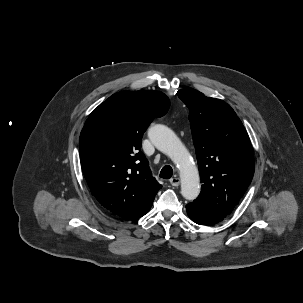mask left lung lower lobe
<instances>
[{
  "label": "left lung lower lobe",
  "mask_w": 303,
  "mask_h": 303,
  "mask_svg": "<svg viewBox=\"0 0 303 303\" xmlns=\"http://www.w3.org/2000/svg\"><path fill=\"white\" fill-rule=\"evenodd\" d=\"M186 210L189 218L199 225H213L225 218L220 213L194 202L187 204Z\"/></svg>",
  "instance_id": "obj_1"
}]
</instances>
